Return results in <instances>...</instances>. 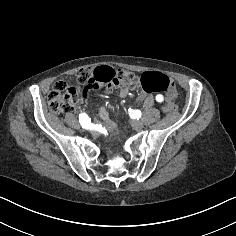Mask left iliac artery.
Listing matches in <instances>:
<instances>
[{"label": "left iliac artery", "mask_w": 236, "mask_h": 236, "mask_svg": "<svg viewBox=\"0 0 236 236\" xmlns=\"http://www.w3.org/2000/svg\"><path fill=\"white\" fill-rule=\"evenodd\" d=\"M156 100L158 101V102H162L163 101V96L162 95H157L156 96Z\"/></svg>", "instance_id": "obj_1"}]
</instances>
